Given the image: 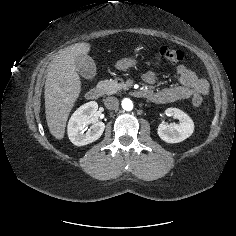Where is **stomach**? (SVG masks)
Masks as SVG:
<instances>
[{"label": "stomach", "mask_w": 236, "mask_h": 236, "mask_svg": "<svg viewBox=\"0 0 236 236\" xmlns=\"http://www.w3.org/2000/svg\"><path fill=\"white\" fill-rule=\"evenodd\" d=\"M136 65V60L133 58H123L116 62L115 67L118 70H127Z\"/></svg>", "instance_id": "1"}]
</instances>
